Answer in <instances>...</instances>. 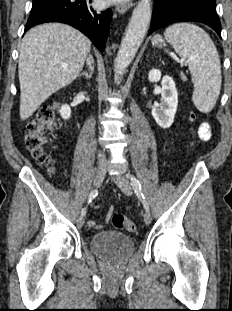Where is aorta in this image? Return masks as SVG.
Wrapping results in <instances>:
<instances>
[{"label":"aorta","instance_id":"obj_1","mask_svg":"<svg viewBox=\"0 0 232 311\" xmlns=\"http://www.w3.org/2000/svg\"><path fill=\"white\" fill-rule=\"evenodd\" d=\"M151 14V0H140L133 10L115 59V72L117 76L121 75L134 59L148 30Z\"/></svg>","mask_w":232,"mask_h":311}]
</instances>
